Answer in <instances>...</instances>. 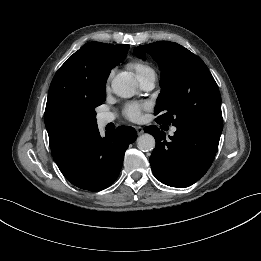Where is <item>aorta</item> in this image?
Segmentation results:
<instances>
[{
    "label": "aorta",
    "instance_id": "aorta-1",
    "mask_svg": "<svg viewBox=\"0 0 261 261\" xmlns=\"http://www.w3.org/2000/svg\"><path fill=\"white\" fill-rule=\"evenodd\" d=\"M111 87L117 96L130 98L136 94L138 83L132 73L121 72L114 77ZM155 144V139L151 134L145 133L137 138V147L143 152L152 151Z\"/></svg>",
    "mask_w": 261,
    "mask_h": 261
}]
</instances>
